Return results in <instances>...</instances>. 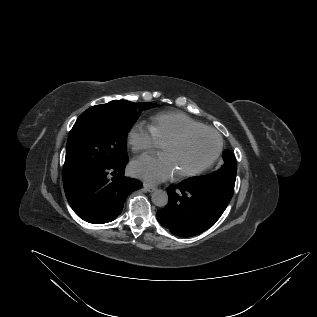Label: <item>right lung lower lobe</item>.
<instances>
[{
    "instance_id": "1",
    "label": "right lung lower lobe",
    "mask_w": 317,
    "mask_h": 317,
    "mask_svg": "<svg viewBox=\"0 0 317 317\" xmlns=\"http://www.w3.org/2000/svg\"><path fill=\"white\" fill-rule=\"evenodd\" d=\"M127 162L128 158L63 179L68 202L80 218L101 224L122 212L129 193L142 187L140 181L124 177Z\"/></svg>"
}]
</instances>
